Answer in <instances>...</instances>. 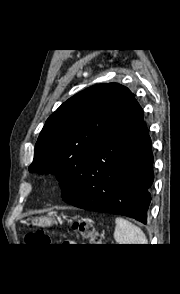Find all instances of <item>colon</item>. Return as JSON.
<instances>
[{
  "mask_svg": "<svg viewBox=\"0 0 180 294\" xmlns=\"http://www.w3.org/2000/svg\"><path fill=\"white\" fill-rule=\"evenodd\" d=\"M72 227L80 233V235L88 240L91 245L99 246L102 243L100 233L95 229L92 223L88 221H80L72 223ZM25 241L28 244H48L50 237L44 230H37L26 235Z\"/></svg>",
  "mask_w": 180,
  "mask_h": 294,
  "instance_id": "5ec220e1",
  "label": "colon"
}]
</instances>
